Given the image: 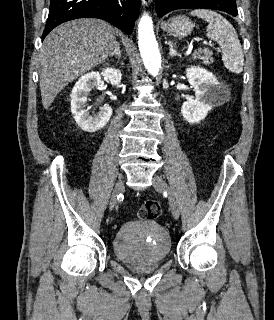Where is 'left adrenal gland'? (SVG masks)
I'll return each mask as SVG.
<instances>
[{
	"label": "left adrenal gland",
	"mask_w": 274,
	"mask_h": 320,
	"mask_svg": "<svg viewBox=\"0 0 274 320\" xmlns=\"http://www.w3.org/2000/svg\"><path fill=\"white\" fill-rule=\"evenodd\" d=\"M168 46L170 48L169 50L170 58H174V56H179V58H181V54H179V52H176V50H174L173 44H171V42H169Z\"/></svg>",
	"instance_id": "obj_1"
}]
</instances>
